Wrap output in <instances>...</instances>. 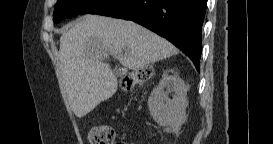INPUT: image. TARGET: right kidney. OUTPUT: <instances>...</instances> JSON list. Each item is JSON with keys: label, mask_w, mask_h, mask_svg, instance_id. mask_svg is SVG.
I'll return each mask as SVG.
<instances>
[{"label": "right kidney", "mask_w": 273, "mask_h": 144, "mask_svg": "<svg viewBox=\"0 0 273 144\" xmlns=\"http://www.w3.org/2000/svg\"><path fill=\"white\" fill-rule=\"evenodd\" d=\"M174 92L171 100L168 95ZM187 86L177 75L165 76L159 86L151 93L148 100L150 114L159 126L166 132L181 129L186 121Z\"/></svg>", "instance_id": "ca27d5eb"}]
</instances>
